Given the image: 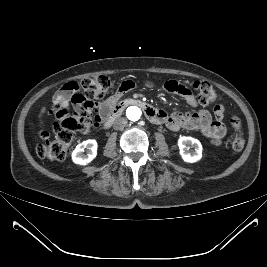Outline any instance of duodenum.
Returning <instances> with one entry per match:
<instances>
[{
	"label": "duodenum",
	"mask_w": 267,
	"mask_h": 267,
	"mask_svg": "<svg viewBox=\"0 0 267 267\" xmlns=\"http://www.w3.org/2000/svg\"><path fill=\"white\" fill-rule=\"evenodd\" d=\"M135 105L140 107L147 118L152 121L153 123H163L164 122V114L155 108H153L150 104L143 102L138 99H126L121 101L120 103L116 104L112 110L107 115L104 121V127L109 128L112 123L120 117L126 107Z\"/></svg>",
	"instance_id": "1"
}]
</instances>
